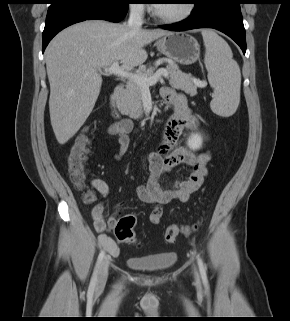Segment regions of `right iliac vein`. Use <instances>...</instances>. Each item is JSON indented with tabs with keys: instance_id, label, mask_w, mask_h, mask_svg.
Listing matches in <instances>:
<instances>
[{
	"instance_id": "obj_1",
	"label": "right iliac vein",
	"mask_w": 290,
	"mask_h": 321,
	"mask_svg": "<svg viewBox=\"0 0 290 321\" xmlns=\"http://www.w3.org/2000/svg\"><path fill=\"white\" fill-rule=\"evenodd\" d=\"M108 270H109V258L105 257L99 268V273L97 278V287H102L106 283V280L108 277Z\"/></svg>"
}]
</instances>
